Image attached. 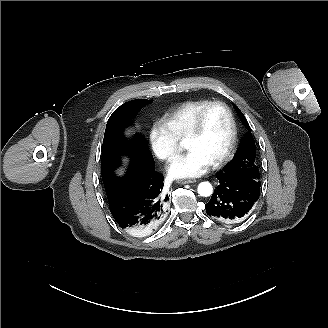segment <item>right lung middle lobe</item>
I'll return each instance as SVG.
<instances>
[{
    "mask_svg": "<svg viewBox=\"0 0 328 328\" xmlns=\"http://www.w3.org/2000/svg\"><path fill=\"white\" fill-rule=\"evenodd\" d=\"M149 103L151 101L146 99L126 102L112 113L107 122L101 152V175L107 196L113 192L117 184L131 174L146 171L154 163L153 156L141 135L136 134L129 140L123 135V129L132 124L131 117ZM122 156L129 157L130 163L127 175L118 178L114 171L120 167Z\"/></svg>",
    "mask_w": 328,
    "mask_h": 328,
    "instance_id": "right-lung-middle-lobe-1",
    "label": "right lung middle lobe"
}]
</instances>
